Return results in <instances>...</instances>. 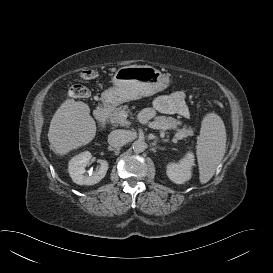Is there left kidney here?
<instances>
[{"mask_svg":"<svg viewBox=\"0 0 273 273\" xmlns=\"http://www.w3.org/2000/svg\"><path fill=\"white\" fill-rule=\"evenodd\" d=\"M194 165V156L188 153L179 163H170L167 166V176L176 184H183L191 178V168Z\"/></svg>","mask_w":273,"mask_h":273,"instance_id":"5707ae66","label":"left kidney"}]
</instances>
